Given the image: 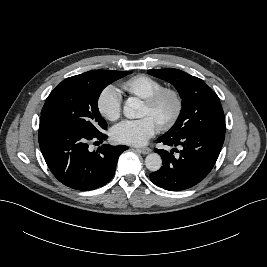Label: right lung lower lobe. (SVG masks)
Instances as JSON below:
<instances>
[{"instance_id": "right-lung-lower-lobe-1", "label": "right lung lower lobe", "mask_w": 267, "mask_h": 267, "mask_svg": "<svg viewBox=\"0 0 267 267\" xmlns=\"http://www.w3.org/2000/svg\"><path fill=\"white\" fill-rule=\"evenodd\" d=\"M107 139V135L89 134L50 118H41L39 146L53 175L64 185L82 191L104 186L115 173L120 154L128 146L102 145L88 150L90 141Z\"/></svg>"}]
</instances>
